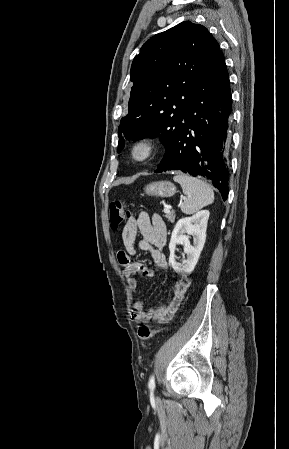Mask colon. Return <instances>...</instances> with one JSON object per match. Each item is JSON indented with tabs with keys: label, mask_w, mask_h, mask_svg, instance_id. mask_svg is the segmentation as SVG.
Listing matches in <instances>:
<instances>
[{
	"label": "colon",
	"mask_w": 289,
	"mask_h": 449,
	"mask_svg": "<svg viewBox=\"0 0 289 449\" xmlns=\"http://www.w3.org/2000/svg\"><path fill=\"white\" fill-rule=\"evenodd\" d=\"M110 225L112 229H117L126 220L130 219L131 214L127 208V204L124 201H113L110 204ZM168 328L164 327L161 329H151L145 325L138 327V337L142 344H145L151 338H153L157 333L166 331Z\"/></svg>",
	"instance_id": "obj_1"
}]
</instances>
